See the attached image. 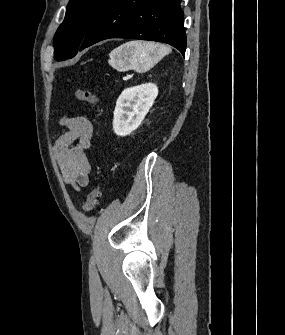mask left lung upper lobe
Here are the masks:
<instances>
[{"label": "left lung upper lobe", "mask_w": 285, "mask_h": 335, "mask_svg": "<svg viewBox=\"0 0 285 335\" xmlns=\"http://www.w3.org/2000/svg\"><path fill=\"white\" fill-rule=\"evenodd\" d=\"M110 0H69L63 23L55 34L54 58L74 57L93 22Z\"/></svg>", "instance_id": "5c2ea615"}]
</instances>
